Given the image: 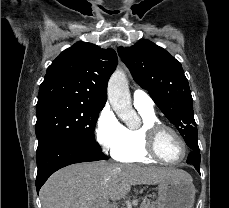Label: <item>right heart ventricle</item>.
<instances>
[{
	"label": "right heart ventricle",
	"mask_w": 229,
	"mask_h": 208,
	"mask_svg": "<svg viewBox=\"0 0 229 208\" xmlns=\"http://www.w3.org/2000/svg\"><path fill=\"white\" fill-rule=\"evenodd\" d=\"M137 110L141 116L142 125L137 128L124 127L125 144L119 148L113 156L122 162L158 163L159 160L157 158H150V153L144 152V144L148 143L145 135L146 125L159 122V119L154 111L145 109Z\"/></svg>",
	"instance_id": "1"
}]
</instances>
